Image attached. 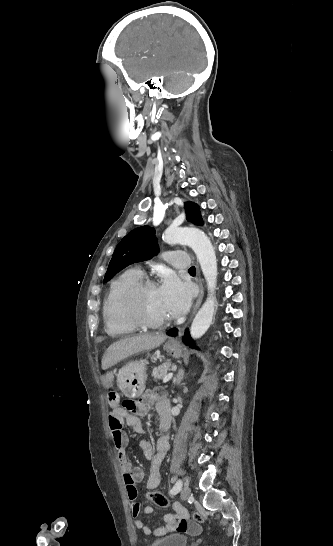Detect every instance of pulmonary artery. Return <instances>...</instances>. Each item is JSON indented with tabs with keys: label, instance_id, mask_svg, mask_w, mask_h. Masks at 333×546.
Here are the masks:
<instances>
[{
	"label": "pulmonary artery",
	"instance_id": "1",
	"mask_svg": "<svg viewBox=\"0 0 333 546\" xmlns=\"http://www.w3.org/2000/svg\"><path fill=\"white\" fill-rule=\"evenodd\" d=\"M168 262L175 268L186 269L189 267L188 256L182 251H170L166 253Z\"/></svg>",
	"mask_w": 333,
	"mask_h": 546
}]
</instances>
